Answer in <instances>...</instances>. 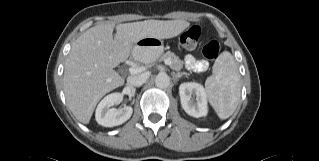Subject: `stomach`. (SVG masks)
<instances>
[{
	"label": "stomach",
	"mask_w": 319,
	"mask_h": 161,
	"mask_svg": "<svg viewBox=\"0 0 319 161\" xmlns=\"http://www.w3.org/2000/svg\"><path fill=\"white\" fill-rule=\"evenodd\" d=\"M164 50L163 41L147 37L140 39L133 47V57L143 63H151L158 59Z\"/></svg>",
	"instance_id": "0dacf381"
}]
</instances>
